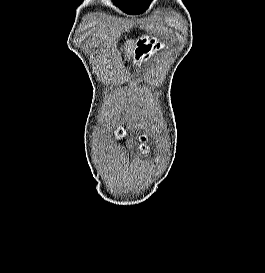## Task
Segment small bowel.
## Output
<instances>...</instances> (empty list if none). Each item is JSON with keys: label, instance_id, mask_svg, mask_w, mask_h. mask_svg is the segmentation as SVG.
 I'll use <instances>...</instances> for the list:
<instances>
[{"label": "small bowel", "instance_id": "1", "mask_svg": "<svg viewBox=\"0 0 265 273\" xmlns=\"http://www.w3.org/2000/svg\"><path fill=\"white\" fill-rule=\"evenodd\" d=\"M137 114H140V111H137ZM122 135H123V136H122ZM121 136H122L123 138H125V137H126V134L121 133Z\"/></svg>", "mask_w": 265, "mask_h": 273}]
</instances>
